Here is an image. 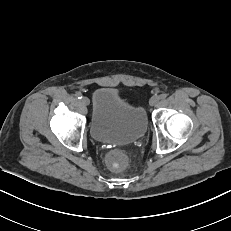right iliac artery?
Returning a JSON list of instances; mask_svg holds the SVG:
<instances>
[{
	"mask_svg": "<svg viewBox=\"0 0 231 231\" xmlns=\"http://www.w3.org/2000/svg\"><path fill=\"white\" fill-rule=\"evenodd\" d=\"M76 97H77L78 99H82V98H83V96H82V94H81L80 92H78V93L76 94Z\"/></svg>",
	"mask_w": 231,
	"mask_h": 231,
	"instance_id": "82829eb1",
	"label": "right iliac artery"
}]
</instances>
